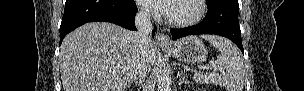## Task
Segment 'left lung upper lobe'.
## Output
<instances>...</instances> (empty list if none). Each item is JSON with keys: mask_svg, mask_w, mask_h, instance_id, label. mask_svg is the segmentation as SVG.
I'll list each match as a JSON object with an SVG mask.
<instances>
[{"mask_svg": "<svg viewBox=\"0 0 304 91\" xmlns=\"http://www.w3.org/2000/svg\"><path fill=\"white\" fill-rule=\"evenodd\" d=\"M219 0H206L207 6L212 5L214 3H216Z\"/></svg>", "mask_w": 304, "mask_h": 91, "instance_id": "1", "label": "left lung upper lobe"}]
</instances>
